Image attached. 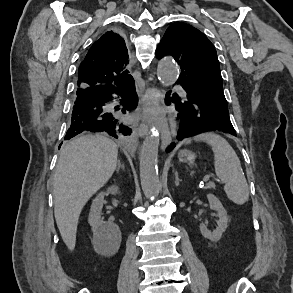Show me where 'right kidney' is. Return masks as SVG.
I'll return each mask as SVG.
<instances>
[{
	"label": "right kidney",
	"mask_w": 293,
	"mask_h": 293,
	"mask_svg": "<svg viewBox=\"0 0 293 293\" xmlns=\"http://www.w3.org/2000/svg\"><path fill=\"white\" fill-rule=\"evenodd\" d=\"M117 194L118 187L111 186L107 192H100L93 200L88 222L92 228L94 236L99 242V247H112L118 249L121 243V232L117 225L112 222H103L101 220V211L106 194Z\"/></svg>",
	"instance_id": "obj_1"
}]
</instances>
